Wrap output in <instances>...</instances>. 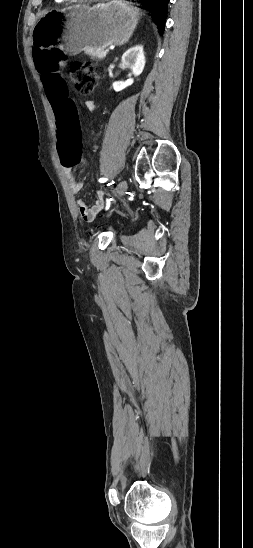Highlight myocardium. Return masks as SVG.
Masks as SVG:
<instances>
[{
    "label": "myocardium",
    "instance_id": "myocardium-1",
    "mask_svg": "<svg viewBox=\"0 0 253 548\" xmlns=\"http://www.w3.org/2000/svg\"><path fill=\"white\" fill-rule=\"evenodd\" d=\"M69 2H87V1H98V0H65Z\"/></svg>",
    "mask_w": 253,
    "mask_h": 548
}]
</instances>
